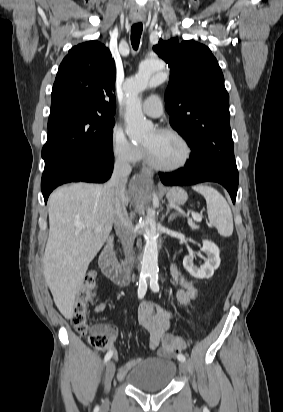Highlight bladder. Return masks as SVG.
I'll return each mask as SVG.
<instances>
[{"label": "bladder", "instance_id": "1", "mask_svg": "<svg viewBox=\"0 0 283 412\" xmlns=\"http://www.w3.org/2000/svg\"><path fill=\"white\" fill-rule=\"evenodd\" d=\"M176 375L177 365L173 360L148 359L130 370L125 380L138 390L157 392L167 389Z\"/></svg>", "mask_w": 283, "mask_h": 412}]
</instances>
